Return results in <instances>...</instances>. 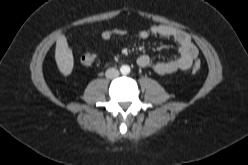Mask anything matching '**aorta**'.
<instances>
[{
	"instance_id": "762f6f07",
	"label": "aorta",
	"mask_w": 248,
	"mask_h": 165,
	"mask_svg": "<svg viewBox=\"0 0 248 165\" xmlns=\"http://www.w3.org/2000/svg\"><path fill=\"white\" fill-rule=\"evenodd\" d=\"M120 72L123 75H127V74L130 73V67L128 65H122L121 68H120Z\"/></svg>"
}]
</instances>
